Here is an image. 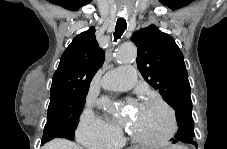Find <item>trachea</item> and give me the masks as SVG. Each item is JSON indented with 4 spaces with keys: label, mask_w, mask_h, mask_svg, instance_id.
I'll return each mask as SVG.
<instances>
[{
    "label": "trachea",
    "mask_w": 227,
    "mask_h": 149,
    "mask_svg": "<svg viewBox=\"0 0 227 149\" xmlns=\"http://www.w3.org/2000/svg\"><path fill=\"white\" fill-rule=\"evenodd\" d=\"M127 28V23L123 19H118L116 22L115 32H114V39L115 41L119 39Z\"/></svg>",
    "instance_id": "1"
}]
</instances>
